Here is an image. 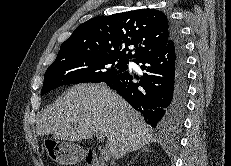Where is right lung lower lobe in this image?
Wrapping results in <instances>:
<instances>
[{
  "instance_id": "1",
  "label": "right lung lower lobe",
  "mask_w": 231,
  "mask_h": 166,
  "mask_svg": "<svg viewBox=\"0 0 231 166\" xmlns=\"http://www.w3.org/2000/svg\"><path fill=\"white\" fill-rule=\"evenodd\" d=\"M134 62L147 71L138 82L134 79L139 77L124 71L103 83L140 111L158 133L177 131L185 115L188 89L186 50L178 27L171 22L170 42Z\"/></svg>"
}]
</instances>
